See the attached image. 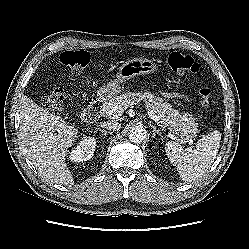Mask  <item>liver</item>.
I'll return each instance as SVG.
<instances>
[{
  "label": "liver",
  "mask_w": 249,
  "mask_h": 249,
  "mask_svg": "<svg viewBox=\"0 0 249 249\" xmlns=\"http://www.w3.org/2000/svg\"><path fill=\"white\" fill-rule=\"evenodd\" d=\"M19 116L21 144L39 174L53 183L72 185L65 158L77 130L27 96L21 98Z\"/></svg>",
  "instance_id": "obj_1"
}]
</instances>
